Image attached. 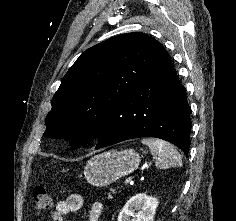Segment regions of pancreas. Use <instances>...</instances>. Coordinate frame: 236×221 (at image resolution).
I'll use <instances>...</instances> for the list:
<instances>
[{"mask_svg":"<svg viewBox=\"0 0 236 221\" xmlns=\"http://www.w3.org/2000/svg\"><path fill=\"white\" fill-rule=\"evenodd\" d=\"M113 193H115L114 190H112L111 192L108 193V198H109V199H112V194H113Z\"/></svg>","mask_w":236,"mask_h":221,"instance_id":"obj_1","label":"pancreas"}]
</instances>
